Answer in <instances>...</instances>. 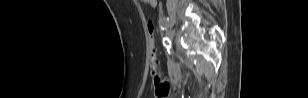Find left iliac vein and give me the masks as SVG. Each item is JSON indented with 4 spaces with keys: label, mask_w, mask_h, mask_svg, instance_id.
<instances>
[{
    "label": "left iliac vein",
    "mask_w": 308,
    "mask_h": 98,
    "mask_svg": "<svg viewBox=\"0 0 308 98\" xmlns=\"http://www.w3.org/2000/svg\"><path fill=\"white\" fill-rule=\"evenodd\" d=\"M167 36L170 40H172L174 38V31L172 29H168Z\"/></svg>",
    "instance_id": "left-iliac-vein-1"
}]
</instances>
